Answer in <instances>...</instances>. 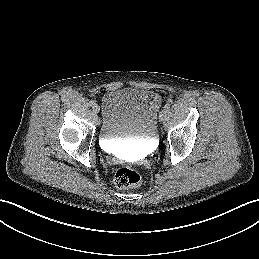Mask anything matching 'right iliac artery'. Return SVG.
Masks as SVG:
<instances>
[{
	"instance_id": "1",
	"label": "right iliac artery",
	"mask_w": 259,
	"mask_h": 259,
	"mask_svg": "<svg viewBox=\"0 0 259 259\" xmlns=\"http://www.w3.org/2000/svg\"><path fill=\"white\" fill-rule=\"evenodd\" d=\"M89 104H90V106H94L95 102L94 101H90Z\"/></svg>"
}]
</instances>
